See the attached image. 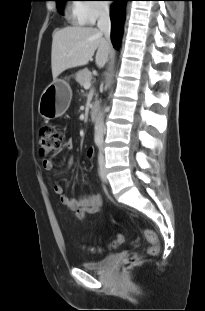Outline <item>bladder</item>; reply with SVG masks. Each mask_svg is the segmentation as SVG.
<instances>
[{
	"instance_id": "31cf9c89",
	"label": "bladder",
	"mask_w": 205,
	"mask_h": 311,
	"mask_svg": "<svg viewBox=\"0 0 205 311\" xmlns=\"http://www.w3.org/2000/svg\"><path fill=\"white\" fill-rule=\"evenodd\" d=\"M113 259H114V256L110 255L100 260L91 261V262H83L81 264V267L85 270H90V271H103L112 262Z\"/></svg>"
}]
</instances>
